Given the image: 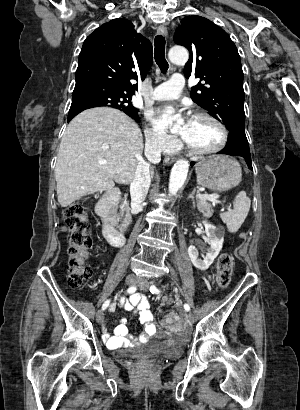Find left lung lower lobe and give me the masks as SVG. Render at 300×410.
<instances>
[{
  "label": "left lung lower lobe",
  "mask_w": 300,
  "mask_h": 410,
  "mask_svg": "<svg viewBox=\"0 0 300 410\" xmlns=\"http://www.w3.org/2000/svg\"><path fill=\"white\" fill-rule=\"evenodd\" d=\"M218 154L242 156L245 158L248 167L252 169L250 150L245 133L240 131H230L226 147L219 151ZM193 165L194 163L192 162L191 166Z\"/></svg>",
  "instance_id": "1"
}]
</instances>
